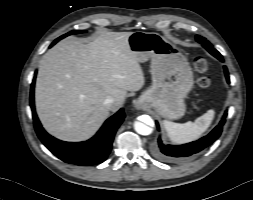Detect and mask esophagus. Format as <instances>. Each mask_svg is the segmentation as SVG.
<instances>
[{
	"label": "esophagus",
	"instance_id": "34e87169",
	"mask_svg": "<svg viewBox=\"0 0 253 200\" xmlns=\"http://www.w3.org/2000/svg\"><path fill=\"white\" fill-rule=\"evenodd\" d=\"M143 107V103L141 100L135 101V108L136 109H141Z\"/></svg>",
	"mask_w": 253,
	"mask_h": 200
}]
</instances>
